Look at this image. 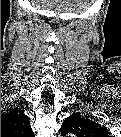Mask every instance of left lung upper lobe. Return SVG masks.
<instances>
[{
    "label": "left lung upper lobe",
    "mask_w": 121,
    "mask_h": 137,
    "mask_svg": "<svg viewBox=\"0 0 121 137\" xmlns=\"http://www.w3.org/2000/svg\"><path fill=\"white\" fill-rule=\"evenodd\" d=\"M68 132L95 136H108L109 134L104 126L81 114H74L65 119L61 126V133L65 135Z\"/></svg>",
    "instance_id": "left-lung-upper-lobe-1"
}]
</instances>
